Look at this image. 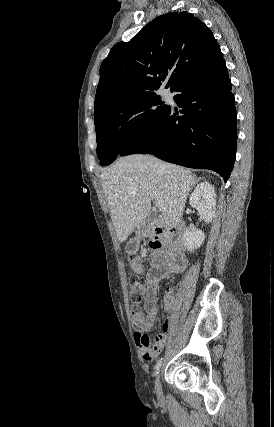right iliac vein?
Segmentation results:
<instances>
[{
	"mask_svg": "<svg viewBox=\"0 0 274 427\" xmlns=\"http://www.w3.org/2000/svg\"><path fill=\"white\" fill-rule=\"evenodd\" d=\"M155 390L157 393H159L161 391V379H160V375H157L156 380H155Z\"/></svg>",
	"mask_w": 274,
	"mask_h": 427,
	"instance_id": "right-iliac-vein-1",
	"label": "right iliac vein"
}]
</instances>
